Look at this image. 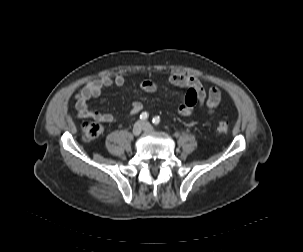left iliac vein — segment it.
Returning <instances> with one entry per match:
<instances>
[{"mask_svg": "<svg viewBox=\"0 0 303 252\" xmlns=\"http://www.w3.org/2000/svg\"><path fill=\"white\" fill-rule=\"evenodd\" d=\"M142 124L144 125V130H146V131H152L153 130V128H152V126H151L150 123L143 122Z\"/></svg>", "mask_w": 303, "mask_h": 252, "instance_id": "4c4485c4", "label": "left iliac vein"}]
</instances>
